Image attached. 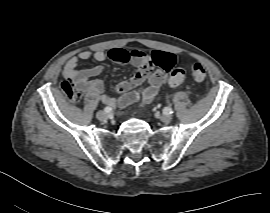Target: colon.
<instances>
[{
	"instance_id": "obj_1",
	"label": "colon",
	"mask_w": 270,
	"mask_h": 213,
	"mask_svg": "<svg viewBox=\"0 0 270 213\" xmlns=\"http://www.w3.org/2000/svg\"><path fill=\"white\" fill-rule=\"evenodd\" d=\"M140 53L146 54L141 50L133 49L131 51H126L124 49H115L110 53V57L112 60L124 63L129 61L131 56H137L140 55ZM149 60H152L153 63L157 65H161L163 68L167 70H171L170 72V78H169V84L173 87L179 86L184 81V71L182 69H172L173 64V58L168 53L163 52H157L151 56L147 55ZM189 70L190 74L196 81H203L206 78V70L205 68L199 64L192 62L189 64ZM151 74V67L150 66H144L140 69L139 75L143 78L149 76ZM63 90L65 91L68 99L76 103L80 100V98L74 93V91L66 84L63 86Z\"/></svg>"
}]
</instances>
